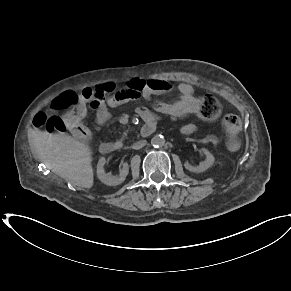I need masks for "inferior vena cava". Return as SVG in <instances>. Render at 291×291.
<instances>
[{"label": "inferior vena cava", "mask_w": 291, "mask_h": 291, "mask_svg": "<svg viewBox=\"0 0 291 291\" xmlns=\"http://www.w3.org/2000/svg\"><path fill=\"white\" fill-rule=\"evenodd\" d=\"M145 145H146V140H140V141L134 143L132 145V148L138 150V149H141L142 147H144Z\"/></svg>", "instance_id": "obj_1"}]
</instances>
